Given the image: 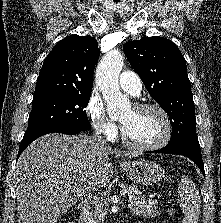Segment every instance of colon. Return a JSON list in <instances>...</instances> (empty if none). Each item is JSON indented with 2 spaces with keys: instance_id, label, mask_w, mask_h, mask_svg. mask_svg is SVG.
<instances>
[{
  "instance_id": "obj_1",
  "label": "colon",
  "mask_w": 221,
  "mask_h": 223,
  "mask_svg": "<svg viewBox=\"0 0 221 223\" xmlns=\"http://www.w3.org/2000/svg\"><path fill=\"white\" fill-rule=\"evenodd\" d=\"M57 223H72V221L68 218H63V219L59 220Z\"/></svg>"
}]
</instances>
